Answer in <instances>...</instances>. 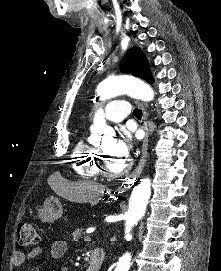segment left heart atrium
<instances>
[{"label": "left heart atrium", "instance_id": "1", "mask_svg": "<svg viewBox=\"0 0 221 271\" xmlns=\"http://www.w3.org/2000/svg\"><path fill=\"white\" fill-rule=\"evenodd\" d=\"M117 148H111L110 157H130L133 142H116Z\"/></svg>", "mask_w": 221, "mask_h": 271}]
</instances>
